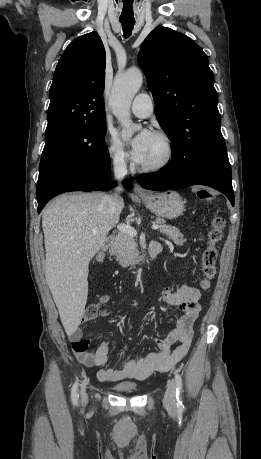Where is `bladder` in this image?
Returning a JSON list of instances; mask_svg holds the SVG:
<instances>
[{
    "label": "bladder",
    "instance_id": "31cf9c89",
    "mask_svg": "<svg viewBox=\"0 0 261 459\" xmlns=\"http://www.w3.org/2000/svg\"><path fill=\"white\" fill-rule=\"evenodd\" d=\"M114 389L122 393H132L137 391L138 386L134 382H121L116 384Z\"/></svg>",
    "mask_w": 261,
    "mask_h": 459
}]
</instances>
